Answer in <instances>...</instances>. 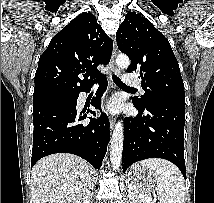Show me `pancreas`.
<instances>
[{
    "label": "pancreas",
    "instance_id": "1",
    "mask_svg": "<svg viewBox=\"0 0 214 203\" xmlns=\"http://www.w3.org/2000/svg\"><path fill=\"white\" fill-rule=\"evenodd\" d=\"M140 194L137 190L132 191L131 193V198H132V202L131 203H154L152 200H144L142 198H140Z\"/></svg>",
    "mask_w": 214,
    "mask_h": 203
}]
</instances>
